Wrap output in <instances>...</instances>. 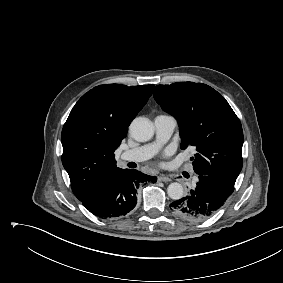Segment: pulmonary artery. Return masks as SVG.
<instances>
[{
	"label": "pulmonary artery",
	"mask_w": 283,
	"mask_h": 283,
	"mask_svg": "<svg viewBox=\"0 0 283 283\" xmlns=\"http://www.w3.org/2000/svg\"><path fill=\"white\" fill-rule=\"evenodd\" d=\"M156 140L153 143L143 145L121 154L122 162H142L151 158L157 150L171 137L176 120L169 115H158L154 119Z\"/></svg>",
	"instance_id": "obj_1"
}]
</instances>
